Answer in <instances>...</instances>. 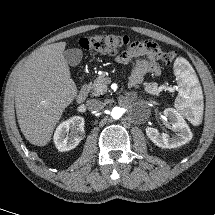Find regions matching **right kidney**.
Here are the masks:
<instances>
[{"instance_id":"right-kidney-1","label":"right kidney","mask_w":215,"mask_h":215,"mask_svg":"<svg viewBox=\"0 0 215 215\" xmlns=\"http://www.w3.org/2000/svg\"><path fill=\"white\" fill-rule=\"evenodd\" d=\"M84 135V118L74 116L62 122L54 133V143L61 152L75 148Z\"/></svg>"}]
</instances>
